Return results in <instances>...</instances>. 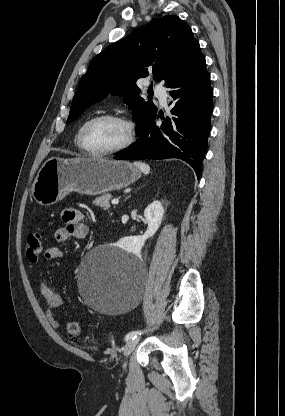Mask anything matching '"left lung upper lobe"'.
<instances>
[{"mask_svg": "<svg viewBox=\"0 0 285 416\" xmlns=\"http://www.w3.org/2000/svg\"><path fill=\"white\" fill-rule=\"evenodd\" d=\"M201 56L191 28L178 16L153 19L91 61L73 98L67 123L111 92L125 96L139 132L155 118L157 107L137 95L140 90L135 81L152 74L155 81H164L168 87Z\"/></svg>", "mask_w": 285, "mask_h": 416, "instance_id": "1", "label": "left lung upper lobe"}]
</instances>
